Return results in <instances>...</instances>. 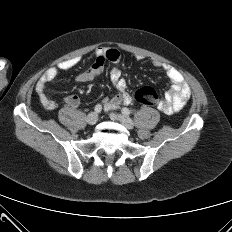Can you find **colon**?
Returning a JSON list of instances; mask_svg holds the SVG:
<instances>
[{
    "mask_svg": "<svg viewBox=\"0 0 232 232\" xmlns=\"http://www.w3.org/2000/svg\"><path fill=\"white\" fill-rule=\"evenodd\" d=\"M134 99L143 105H154L158 100L157 92L150 86H143L134 92Z\"/></svg>",
    "mask_w": 232,
    "mask_h": 232,
    "instance_id": "colon-1",
    "label": "colon"
}]
</instances>
